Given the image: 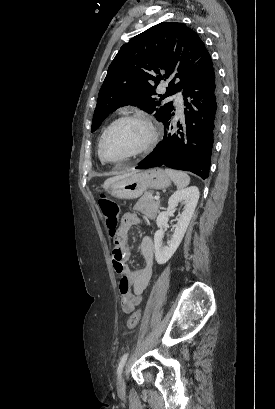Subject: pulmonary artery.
Here are the masks:
<instances>
[{"instance_id":"1","label":"pulmonary artery","mask_w":275,"mask_h":409,"mask_svg":"<svg viewBox=\"0 0 275 409\" xmlns=\"http://www.w3.org/2000/svg\"><path fill=\"white\" fill-rule=\"evenodd\" d=\"M170 98L174 99V103H175V106L177 108V112L179 114H182V112H183V97H182L181 93H177L175 95H172Z\"/></svg>"}]
</instances>
